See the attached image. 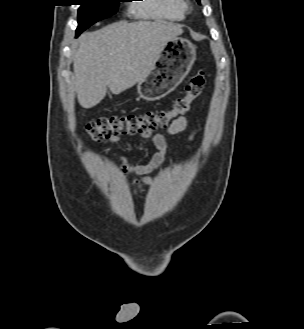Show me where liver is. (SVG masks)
Returning <instances> with one entry per match:
<instances>
[{
  "mask_svg": "<svg viewBox=\"0 0 304 329\" xmlns=\"http://www.w3.org/2000/svg\"><path fill=\"white\" fill-rule=\"evenodd\" d=\"M182 33L179 24L138 21L82 34L73 59L79 104L94 107L104 99L107 87L118 95L146 78L165 43Z\"/></svg>",
  "mask_w": 304,
  "mask_h": 329,
  "instance_id": "1",
  "label": "liver"
}]
</instances>
